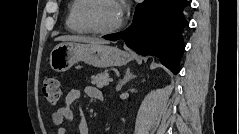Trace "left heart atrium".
I'll use <instances>...</instances> for the list:
<instances>
[{
  "label": "left heart atrium",
  "instance_id": "1",
  "mask_svg": "<svg viewBox=\"0 0 239 134\" xmlns=\"http://www.w3.org/2000/svg\"><path fill=\"white\" fill-rule=\"evenodd\" d=\"M118 9H119L120 16H122L124 7L118 6Z\"/></svg>",
  "mask_w": 239,
  "mask_h": 134
}]
</instances>
